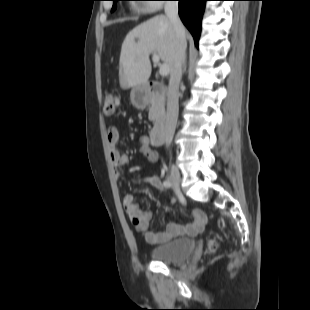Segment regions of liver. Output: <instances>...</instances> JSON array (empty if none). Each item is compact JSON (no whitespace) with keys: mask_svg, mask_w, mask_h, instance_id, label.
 <instances>
[{"mask_svg":"<svg viewBox=\"0 0 310 310\" xmlns=\"http://www.w3.org/2000/svg\"><path fill=\"white\" fill-rule=\"evenodd\" d=\"M174 52L175 31L167 16L157 15L135 27L127 34L121 48V88L147 83L151 75V53L158 54L171 72Z\"/></svg>","mask_w":310,"mask_h":310,"instance_id":"6515ba94","label":"liver"}]
</instances>
